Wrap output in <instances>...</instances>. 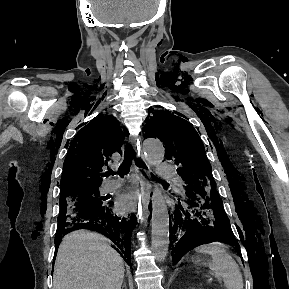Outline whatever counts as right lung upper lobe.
Returning a JSON list of instances; mask_svg holds the SVG:
<instances>
[{
  "label": "right lung upper lobe",
  "mask_w": 289,
  "mask_h": 289,
  "mask_svg": "<svg viewBox=\"0 0 289 289\" xmlns=\"http://www.w3.org/2000/svg\"><path fill=\"white\" fill-rule=\"evenodd\" d=\"M123 142L119 122L108 113H100L85 125L69 146L63 164L61 196L99 189L102 167L113 152H121Z\"/></svg>",
  "instance_id": "cb5924a9"
}]
</instances>
